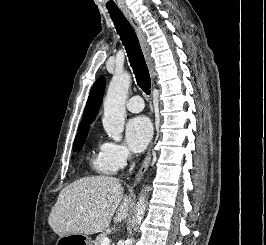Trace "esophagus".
I'll return each mask as SVG.
<instances>
[{
    "mask_svg": "<svg viewBox=\"0 0 266 245\" xmlns=\"http://www.w3.org/2000/svg\"><path fill=\"white\" fill-rule=\"evenodd\" d=\"M125 16L129 19V22L131 23L132 27L134 28V30L137 34V37H138L139 42H140V46L142 48L144 57L146 59V62L148 64V68L150 70L151 78H152V80H154L156 73L154 70L153 60H152L151 55H150V47H149L148 42L146 40V35L143 32L138 20L130 12L125 13ZM153 86H154V82H153ZM152 146L153 145L150 146V148L146 154V157L143 161V164H142L139 172L136 175L134 185L140 181V179L142 178V176L144 175V173L146 172V170L150 164Z\"/></svg>",
    "mask_w": 266,
    "mask_h": 245,
    "instance_id": "34e87169",
    "label": "esophagus"
}]
</instances>
